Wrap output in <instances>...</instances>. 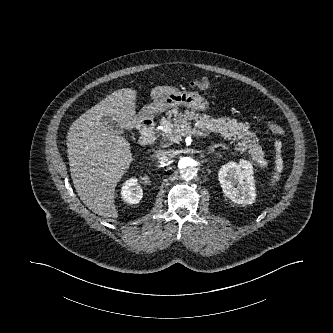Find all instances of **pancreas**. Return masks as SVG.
<instances>
[{
    "mask_svg": "<svg viewBox=\"0 0 333 333\" xmlns=\"http://www.w3.org/2000/svg\"><path fill=\"white\" fill-rule=\"evenodd\" d=\"M173 112L167 113V118H162L161 125L163 126L164 136L171 143H178L183 136L191 134L192 128L189 125L191 121H195V127L202 131L220 133L225 139L238 141L235 150L247 151L256 162V165H261L263 162V151L258 145V139L255 134L248 130L249 126L242 122H238L232 118H209L207 115L200 116L198 113L188 112L174 113V118L171 119Z\"/></svg>",
    "mask_w": 333,
    "mask_h": 333,
    "instance_id": "pancreas-1",
    "label": "pancreas"
}]
</instances>
